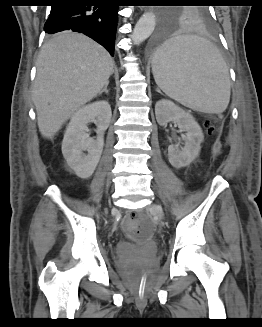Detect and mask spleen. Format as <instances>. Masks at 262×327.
<instances>
[{
    "mask_svg": "<svg viewBox=\"0 0 262 327\" xmlns=\"http://www.w3.org/2000/svg\"><path fill=\"white\" fill-rule=\"evenodd\" d=\"M155 82L170 98L196 111L219 114L230 101L227 64L210 41L194 35L167 40L152 59Z\"/></svg>",
    "mask_w": 262,
    "mask_h": 327,
    "instance_id": "3e777b00",
    "label": "spleen"
}]
</instances>
